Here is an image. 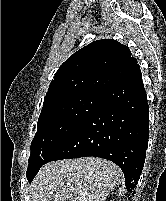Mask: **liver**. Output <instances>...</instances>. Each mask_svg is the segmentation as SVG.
Listing matches in <instances>:
<instances>
[{"mask_svg": "<svg viewBox=\"0 0 166 201\" xmlns=\"http://www.w3.org/2000/svg\"><path fill=\"white\" fill-rule=\"evenodd\" d=\"M123 181L120 168L105 159L58 160L41 167L31 184L33 201H104Z\"/></svg>", "mask_w": 166, "mask_h": 201, "instance_id": "1", "label": "liver"}]
</instances>
